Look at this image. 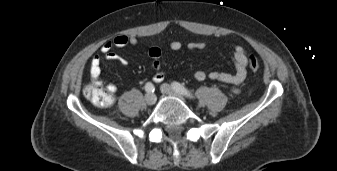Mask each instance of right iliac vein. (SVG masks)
Listing matches in <instances>:
<instances>
[{"instance_id":"obj_1","label":"right iliac vein","mask_w":337,"mask_h":171,"mask_svg":"<svg viewBox=\"0 0 337 171\" xmlns=\"http://www.w3.org/2000/svg\"><path fill=\"white\" fill-rule=\"evenodd\" d=\"M157 98H156V95L153 94V93H148L146 94L145 96V102L148 104V105H153L155 104Z\"/></svg>"}]
</instances>
